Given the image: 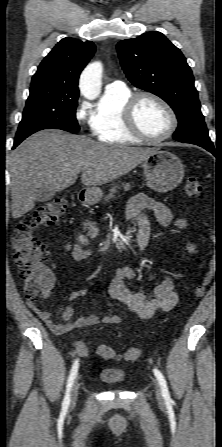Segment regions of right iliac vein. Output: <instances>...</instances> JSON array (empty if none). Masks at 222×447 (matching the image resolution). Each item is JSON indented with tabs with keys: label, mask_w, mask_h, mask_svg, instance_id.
I'll return each mask as SVG.
<instances>
[{
	"label": "right iliac vein",
	"mask_w": 222,
	"mask_h": 447,
	"mask_svg": "<svg viewBox=\"0 0 222 447\" xmlns=\"http://www.w3.org/2000/svg\"><path fill=\"white\" fill-rule=\"evenodd\" d=\"M78 391H79V383L78 378L73 382V385L71 387V393H70V406L73 407L76 404L77 398H78Z\"/></svg>",
	"instance_id": "right-iliac-vein-1"
}]
</instances>
